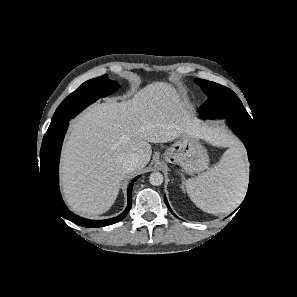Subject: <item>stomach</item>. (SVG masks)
Returning a JSON list of instances; mask_svg holds the SVG:
<instances>
[{"label":"stomach","mask_w":297,"mask_h":297,"mask_svg":"<svg viewBox=\"0 0 297 297\" xmlns=\"http://www.w3.org/2000/svg\"><path fill=\"white\" fill-rule=\"evenodd\" d=\"M163 155L167 162L178 164L190 175L204 171L209 164V155L202 142L188 135L182 136Z\"/></svg>","instance_id":"1"}]
</instances>
